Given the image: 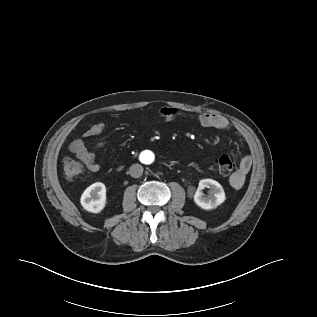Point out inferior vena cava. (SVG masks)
I'll return each instance as SVG.
<instances>
[{"label": "inferior vena cava", "instance_id": "602c4592", "mask_svg": "<svg viewBox=\"0 0 317 317\" xmlns=\"http://www.w3.org/2000/svg\"><path fill=\"white\" fill-rule=\"evenodd\" d=\"M129 174L133 178H139L143 174V167L140 164H133L129 169Z\"/></svg>", "mask_w": 317, "mask_h": 317}]
</instances>
